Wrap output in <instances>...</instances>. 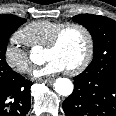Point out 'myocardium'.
<instances>
[{
  "instance_id": "1",
  "label": "myocardium",
  "mask_w": 116,
  "mask_h": 116,
  "mask_svg": "<svg viewBox=\"0 0 116 116\" xmlns=\"http://www.w3.org/2000/svg\"><path fill=\"white\" fill-rule=\"evenodd\" d=\"M70 28H77L81 30L85 34L87 39V50L83 60L79 64H77L75 67L66 70L68 74L75 75L82 72L89 66L94 55V50H95L94 38L91 31L85 25L81 23H75V22L63 24L53 34L51 40L45 46V50L55 49L59 45L63 34Z\"/></svg>"
}]
</instances>
